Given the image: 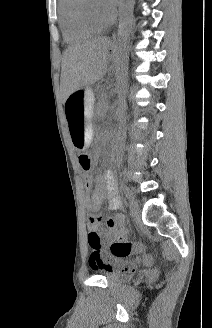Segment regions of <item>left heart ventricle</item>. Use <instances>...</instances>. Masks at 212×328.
Masks as SVG:
<instances>
[{
  "instance_id": "b2bd125f",
  "label": "left heart ventricle",
  "mask_w": 212,
  "mask_h": 328,
  "mask_svg": "<svg viewBox=\"0 0 212 328\" xmlns=\"http://www.w3.org/2000/svg\"><path fill=\"white\" fill-rule=\"evenodd\" d=\"M91 7L93 12L102 20H107L111 16V11L108 10L102 0H92Z\"/></svg>"
}]
</instances>
